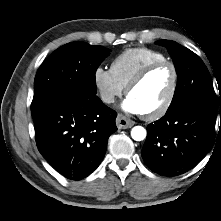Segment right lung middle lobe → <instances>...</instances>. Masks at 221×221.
Returning <instances> with one entry per match:
<instances>
[{
  "instance_id": "obj_1",
  "label": "right lung middle lobe",
  "mask_w": 221,
  "mask_h": 221,
  "mask_svg": "<svg viewBox=\"0 0 221 221\" xmlns=\"http://www.w3.org/2000/svg\"><path fill=\"white\" fill-rule=\"evenodd\" d=\"M110 50L85 42L68 43L40 66L34 80L32 117L55 98L67 94L96 96L95 73Z\"/></svg>"
}]
</instances>
